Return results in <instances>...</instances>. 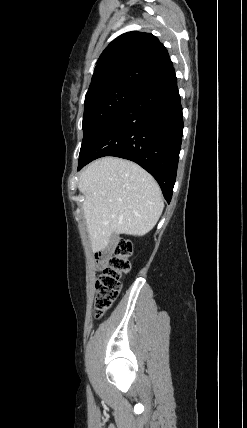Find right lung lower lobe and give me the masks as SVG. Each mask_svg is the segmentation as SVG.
I'll return each mask as SVG.
<instances>
[{"instance_id":"obj_1","label":"right lung lower lobe","mask_w":247,"mask_h":428,"mask_svg":"<svg viewBox=\"0 0 247 428\" xmlns=\"http://www.w3.org/2000/svg\"><path fill=\"white\" fill-rule=\"evenodd\" d=\"M182 132V106L172 68L140 91L106 124L79 158L78 170L103 156L134 161L156 179L169 203Z\"/></svg>"}]
</instances>
